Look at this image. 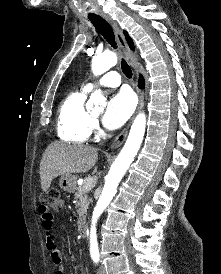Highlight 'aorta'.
I'll return each instance as SVG.
<instances>
[{
	"label": "aorta",
	"instance_id": "762f6f07",
	"mask_svg": "<svg viewBox=\"0 0 221 274\" xmlns=\"http://www.w3.org/2000/svg\"><path fill=\"white\" fill-rule=\"evenodd\" d=\"M117 63V55L115 53H106L97 57H94L91 64V69L94 75L98 76L108 71ZM90 105H97L104 103V98L101 92L95 91L90 96L88 101ZM146 127V115L145 113H139L133 121L127 141L122 148L121 152L114 161L111 169L106 176L104 188L102 194L94 208L91 229H90V252L91 254H97L99 252L96 223L102 212L116 193L117 186L124 176L125 172L132 163L135 155L137 154L140 145L143 141Z\"/></svg>",
	"mask_w": 221,
	"mask_h": 274
}]
</instances>
